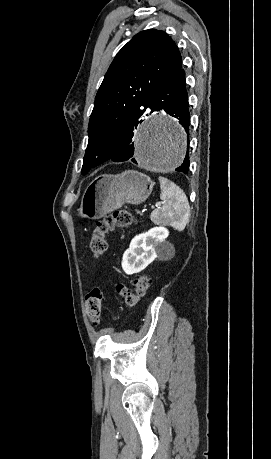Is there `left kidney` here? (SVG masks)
Here are the masks:
<instances>
[{
	"label": "left kidney",
	"instance_id": "obj_1",
	"mask_svg": "<svg viewBox=\"0 0 271 459\" xmlns=\"http://www.w3.org/2000/svg\"><path fill=\"white\" fill-rule=\"evenodd\" d=\"M167 235L165 228H152L145 233H139L131 239V243L124 251L122 267L125 273H138L145 269L157 257V249L162 245Z\"/></svg>",
	"mask_w": 271,
	"mask_h": 459
}]
</instances>
